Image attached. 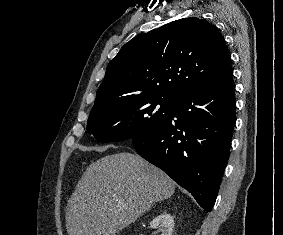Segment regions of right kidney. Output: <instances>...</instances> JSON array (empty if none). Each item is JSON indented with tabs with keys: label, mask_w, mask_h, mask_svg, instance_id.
Wrapping results in <instances>:
<instances>
[{
	"label": "right kidney",
	"mask_w": 283,
	"mask_h": 235,
	"mask_svg": "<svg viewBox=\"0 0 283 235\" xmlns=\"http://www.w3.org/2000/svg\"><path fill=\"white\" fill-rule=\"evenodd\" d=\"M150 227L158 228L159 232H161L160 235H172L174 228L173 217L168 213H162L150 222Z\"/></svg>",
	"instance_id": "obj_1"
}]
</instances>
